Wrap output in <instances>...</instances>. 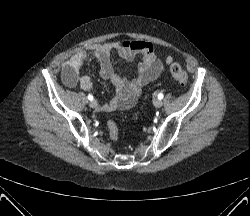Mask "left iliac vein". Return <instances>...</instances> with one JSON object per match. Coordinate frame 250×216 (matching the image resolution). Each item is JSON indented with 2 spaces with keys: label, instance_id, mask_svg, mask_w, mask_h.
<instances>
[{
  "label": "left iliac vein",
  "instance_id": "1",
  "mask_svg": "<svg viewBox=\"0 0 250 216\" xmlns=\"http://www.w3.org/2000/svg\"><path fill=\"white\" fill-rule=\"evenodd\" d=\"M153 104L156 108H160L163 103H162L161 99H155Z\"/></svg>",
  "mask_w": 250,
  "mask_h": 216
}]
</instances>
